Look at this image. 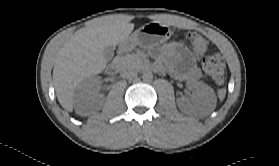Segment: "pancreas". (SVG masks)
Returning a JSON list of instances; mask_svg holds the SVG:
<instances>
[{
  "mask_svg": "<svg viewBox=\"0 0 279 166\" xmlns=\"http://www.w3.org/2000/svg\"><path fill=\"white\" fill-rule=\"evenodd\" d=\"M120 66L122 69H139L143 66V61L138 53H131L119 57Z\"/></svg>",
  "mask_w": 279,
  "mask_h": 166,
  "instance_id": "pancreas-1",
  "label": "pancreas"
}]
</instances>
